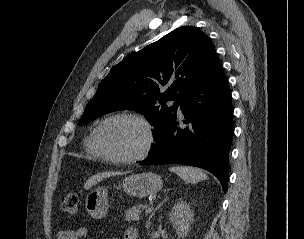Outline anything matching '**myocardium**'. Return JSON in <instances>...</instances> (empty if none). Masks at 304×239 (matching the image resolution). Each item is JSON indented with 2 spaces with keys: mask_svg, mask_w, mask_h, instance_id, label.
<instances>
[{
  "mask_svg": "<svg viewBox=\"0 0 304 239\" xmlns=\"http://www.w3.org/2000/svg\"><path fill=\"white\" fill-rule=\"evenodd\" d=\"M120 118H129V119H133V120L139 122L140 124H142V126L144 127L145 132H146V141H145V144H144L143 148L141 149V151L139 153L129 156V157H120V156H116V155L108 152L102 146L101 141H100V132H101L102 128L108 122H110L112 120L120 119ZM93 143H94L96 150L101 154V156L105 160H108V161L116 163V164H133V163L143 160L144 158H146L148 156V154L150 153V151L155 143V132H154V128H153V125L151 124V122L142 114L136 113V112H129V111L119 112V113H115V114H112V115L106 117L97 125V127L94 129V132H93Z\"/></svg>",
  "mask_w": 304,
  "mask_h": 239,
  "instance_id": "1",
  "label": "myocardium"
}]
</instances>
